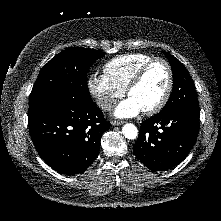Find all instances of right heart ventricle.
<instances>
[{"label": "right heart ventricle", "instance_id": "e07e8e85", "mask_svg": "<svg viewBox=\"0 0 221 221\" xmlns=\"http://www.w3.org/2000/svg\"><path fill=\"white\" fill-rule=\"evenodd\" d=\"M151 58L150 55L144 53L119 55L104 65V75L116 86L125 90L140 66Z\"/></svg>", "mask_w": 221, "mask_h": 221}]
</instances>
